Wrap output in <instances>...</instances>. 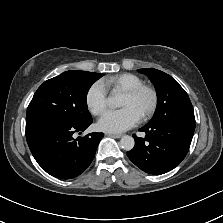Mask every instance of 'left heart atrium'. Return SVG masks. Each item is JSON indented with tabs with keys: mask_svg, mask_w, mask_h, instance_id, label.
<instances>
[{
	"mask_svg": "<svg viewBox=\"0 0 223 223\" xmlns=\"http://www.w3.org/2000/svg\"><path fill=\"white\" fill-rule=\"evenodd\" d=\"M140 120L138 113L126 106L105 112L99 120V128L106 132H123L135 126Z\"/></svg>",
	"mask_w": 223,
	"mask_h": 223,
	"instance_id": "39dd6f15",
	"label": "left heart atrium"
}]
</instances>
